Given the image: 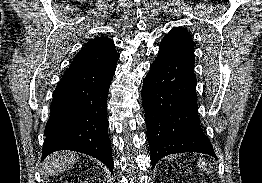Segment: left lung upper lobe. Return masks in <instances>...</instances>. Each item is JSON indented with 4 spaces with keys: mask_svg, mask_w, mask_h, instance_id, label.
<instances>
[{
    "mask_svg": "<svg viewBox=\"0 0 262 183\" xmlns=\"http://www.w3.org/2000/svg\"><path fill=\"white\" fill-rule=\"evenodd\" d=\"M159 50L195 61L194 42L184 28L174 27L164 36Z\"/></svg>",
    "mask_w": 262,
    "mask_h": 183,
    "instance_id": "left-lung-upper-lobe-1",
    "label": "left lung upper lobe"
}]
</instances>
